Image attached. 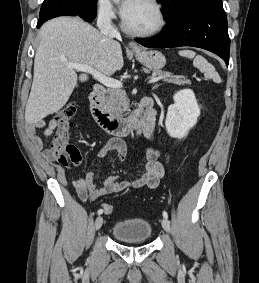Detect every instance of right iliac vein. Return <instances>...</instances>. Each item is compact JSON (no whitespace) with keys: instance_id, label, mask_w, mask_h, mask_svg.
<instances>
[{"instance_id":"obj_1","label":"right iliac vein","mask_w":259,"mask_h":283,"mask_svg":"<svg viewBox=\"0 0 259 283\" xmlns=\"http://www.w3.org/2000/svg\"><path fill=\"white\" fill-rule=\"evenodd\" d=\"M103 225V217L102 216H98L95 220V224H94V230L97 231L99 230Z\"/></svg>"}]
</instances>
